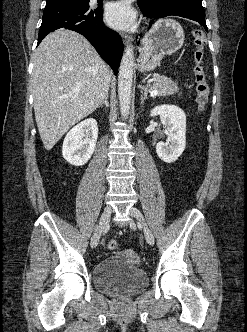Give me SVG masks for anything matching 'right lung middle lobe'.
<instances>
[{
	"mask_svg": "<svg viewBox=\"0 0 247 332\" xmlns=\"http://www.w3.org/2000/svg\"><path fill=\"white\" fill-rule=\"evenodd\" d=\"M89 1L90 0H47L46 6L63 3L89 6Z\"/></svg>",
	"mask_w": 247,
	"mask_h": 332,
	"instance_id": "right-lung-middle-lobe-1",
	"label": "right lung middle lobe"
}]
</instances>
